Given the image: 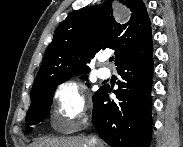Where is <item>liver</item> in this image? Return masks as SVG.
I'll use <instances>...</instances> for the list:
<instances>
[{
	"mask_svg": "<svg viewBox=\"0 0 183 147\" xmlns=\"http://www.w3.org/2000/svg\"><path fill=\"white\" fill-rule=\"evenodd\" d=\"M30 147H89V141L81 137L46 138L32 143Z\"/></svg>",
	"mask_w": 183,
	"mask_h": 147,
	"instance_id": "liver-1",
	"label": "liver"
}]
</instances>
